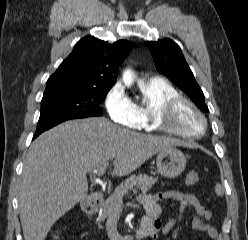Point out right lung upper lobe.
I'll use <instances>...</instances> for the list:
<instances>
[{
    "label": "right lung upper lobe",
    "mask_w": 248,
    "mask_h": 240,
    "mask_svg": "<svg viewBox=\"0 0 248 240\" xmlns=\"http://www.w3.org/2000/svg\"><path fill=\"white\" fill-rule=\"evenodd\" d=\"M133 47L126 40L109 44L86 36L77 42L72 53L47 80L45 91L59 88L111 89L119 66Z\"/></svg>",
    "instance_id": "obj_1"
}]
</instances>
